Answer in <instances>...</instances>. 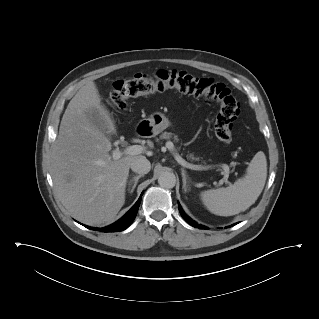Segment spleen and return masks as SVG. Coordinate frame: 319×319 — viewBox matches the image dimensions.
Masks as SVG:
<instances>
[{
	"label": "spleen",
	"instance_id": "1",
	"mask_svg": "<svg viewBox=\"0 0 319 319\" xmlns=\"http://www.w3.org/2000/svg\"><path fill=\"white\" fill-rule=\"evenodd\" d=\"M246 172V176L233 185L201 193L202 202L210 212L219 216H232L255 203L267 178V161L262 151L255 154Z\"/></svg>",
	"mask_w": 319,
	"mask_h": 319
}]
</instances>
